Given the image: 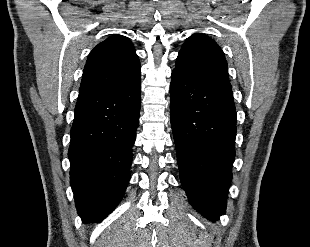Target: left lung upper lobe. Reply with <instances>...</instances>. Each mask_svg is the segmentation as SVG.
<instances>
[{
  "instance_id": "1",
  "label": "left lung upper lobe",
  "mask_w": 310,
  "mask_h": 247,
  "mask_svg": "<svg viewBox=\"0 0 310 247\" xmlns=\"http://www.w3.org/2000/svg\"><path fill=\"white\" fill-rule=\"evenodd\" d=\"M174 70L231 88L223 51L204 34L196 33L186 40Z\"/></svg>"
}]
</instances>
